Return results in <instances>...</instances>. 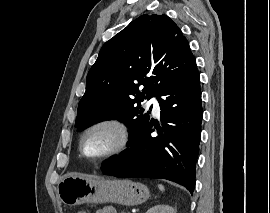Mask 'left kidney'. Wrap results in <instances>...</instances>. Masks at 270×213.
Listing matches in <instances>:
<instances>
[{
	"instance_id": "obj_1",
	"label": "left kidney",
	"mask_w": 270,
	"mask_h": 213,
	"mask_svg": "<svg viewBox=\"0 0 270 213\" xmlns=\"http://www.w3.org/2000/svg\"><path fill=\"white\" fill-rule=\"evenodd\" d=\"M146 213H176V210L165 204H158L150 208Z\"/></svg>"
}]
</instances>
